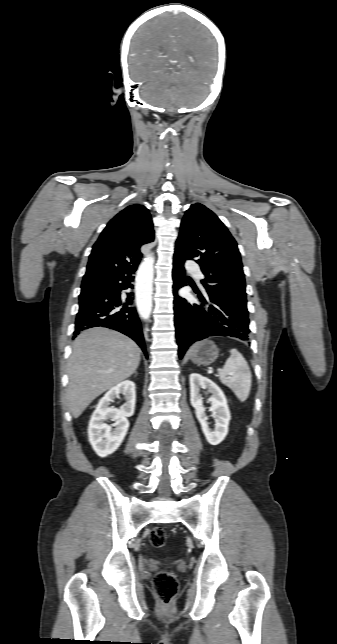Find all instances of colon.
Masks as SVG:
<instances>
[{
  "label": "colon",
  "instance_id": "5ec220e1",
  "mask_svg": "<svg viewBox=\"0 0 337 644\" xmlns=\"http://www.w3.org/2000/svg\"><path fill=\"white\" fill-rule=\"evenodd\" d=\"M149 540L152 546L162 547L166 541L165 530L161 527L153 528ZM153 585L162 604L169 605L178 590V581L175 575L169 571H159L154 576Z\"/></svg>",
  "mask_w": 337,
  "mask_h": 644
}]
</instances>
